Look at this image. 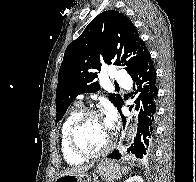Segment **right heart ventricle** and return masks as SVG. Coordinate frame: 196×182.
Wrapping results in <instances>:
<instances>
[{"label":"right heart ventricle","instance_id":"obj_1","mask_svg":"<svg viewBox=\"0 0 196 182\" xmlns=\"http://www.w3.org/2000/svg\"><path fill=\"white\" fill-rule=\"evenodd\" d=\"M82 113L81 107H76L73 110H71L66 118L64 119L62 126H61V132H60V145L63 157L65 161L70 165H80L84 162V159L74 154L68 144V134L69 130L73 124V122L76 120V118Z\"/></svg>","mask_w":196,"mask_h":182}]
</instances>
